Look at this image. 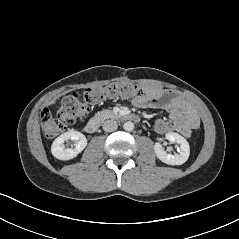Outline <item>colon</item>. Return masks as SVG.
Instances as JSON below:
<instances>
[{
  "label": "colon",
  "mask_w": 239,
  "mask_h": 239,
  "mask_svg": "<svg viewBox=\"0 0 239 239\" xmlns=\"http://www.w3.org/2000/svg\"><path fill=\"white\" fill-rule=\"evenodd\" d=\"M145 90L128 82L112 83L104 87L87 89L81 100L79 94L70 93L62 101L57 117L53 118L48 110H44L40 119L47 138H54L69 126L84 119L90 111V106L117 96H142ZM172 127L169 121L157 119L153 124V131L164 137L170 134Z\"/></svg>",
  "instance_id": "1"
}]
</instances>
